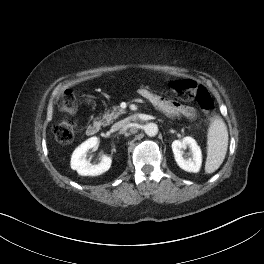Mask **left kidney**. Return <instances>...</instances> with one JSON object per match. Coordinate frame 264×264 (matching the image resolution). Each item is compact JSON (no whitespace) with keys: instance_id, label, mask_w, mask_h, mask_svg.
Masks as SVG:
<instances>
[{"instance_id":"obj_1","label":"left kidney","mask_w":264,"mask_h":264,"mask_svg":"<svg viewBox=\"0 0 264 264\" xmlns=\"http://www.w3.org/2000/svg\"><path fill=\"white\" fill-rule=\"evenodd\" d=\"M190 148L192 157L184 158L183 149ZM172 151L178 166L188 172H198L202 163V153L195 139L184 137L182 140H175L172 143Z\"/></svg>"}]
</instances>
